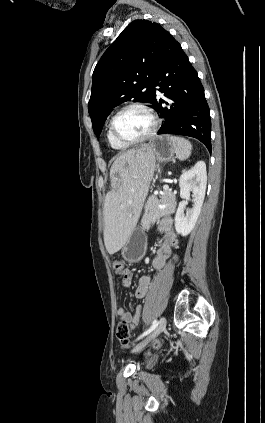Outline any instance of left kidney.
<instances>
[{
    "label": "left kidney",
    "mask_w": 265,
    "mask_h": 423,
    "mask_svg": "<svg viewBox=\"0 0 265 423\" xmlns=\"http://www.w3.org/2000/svg\"><path fill=\"white\" fill-rule=\"evenodd\" d=\"M207 185L206 164L198 161L188 170H183L179 180L180 197L184 201L179 203L175 215V229L178 234L187 236L194 228L201 212ZM193 192V207L184 213L190 192ZM186 199V201H185Z\"/></svg>",
    "instance_id": "obj_1"
}]
</instances>
